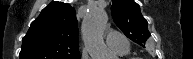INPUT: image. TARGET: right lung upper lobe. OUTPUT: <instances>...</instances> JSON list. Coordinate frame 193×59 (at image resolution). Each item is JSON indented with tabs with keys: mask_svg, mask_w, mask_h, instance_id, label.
I'll list each match as a JSON object with an SVG mask.
<instances>
[{
	"mask_svg": "<svg viewBox=\"0 0 193 59\" xmlns=\"http://www.w3.org/2000/svg\"><path fill=\"white\" fill-rule=\"evenodd\" d=\"M20 59H80L74 8L58 1L44 8L23 37Z\"/></svg>",
	"mask_w": 193,
	"mask_h": 59,
	"instance_id": "right-lung-upper-lobe-1",
	"label": "right lung upper lobe"
}]
</instances>
